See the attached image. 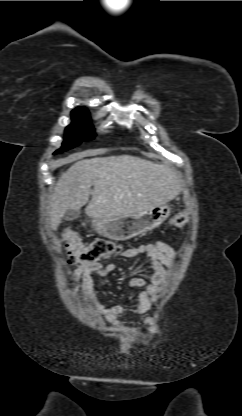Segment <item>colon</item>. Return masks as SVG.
I'll return each instance as SVG.
<instances>
[{
    "mask_svg": "<svg viewBox=\"0 0 242 416\" xmlns=\"http://www.w3.org/2000/svg\"><path fill=\"white\" fill-rule=\"evenodd\" d=\"M188 221V214L180 212L172 217L171 224L174 227H182ZM61 247L67 251L70 262L78 265L95 264L123 250L120 243L104 238H98L87 244L70 230L63 233Z\"/></svg>",
    "mask_w": 242,
    "mask_h": 416,
    "instance_id": "colon-1",
    "label": "colon"
}]
</instances>
